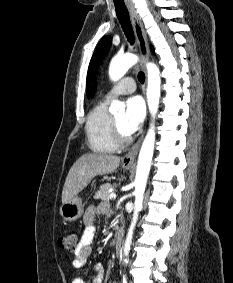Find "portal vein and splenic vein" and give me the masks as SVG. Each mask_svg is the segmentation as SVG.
<instances>
[{"label": "portal vein and splenic vein", "mask_w": 233, "mask_h": 283, "mask_svg": "<svg viewBox=\"0 0 233 283\" xmlns=\"http://www.w3.org/2000/svg\"><path fill=\"white\" fill-rule=\"evenodd\" d=\"M109 198H110V199H115V198H116V193H111V194L109 195Z\"/></svg>", "instance_id": "portal-vein-and-splenic-vein-1"}]
</instances>
